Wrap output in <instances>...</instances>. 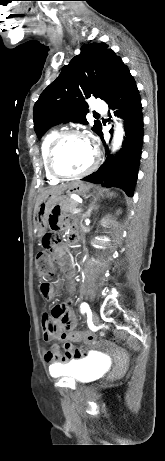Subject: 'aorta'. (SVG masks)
I'll return each mask as SVG.
<instances>
[{
    "mask_svg": "<svg viewBox=\"0 0 165 461\" xmlns=\"http://www.w3.org/2000/svg\"><path fill=\"white\" fill-rule=\"evenodd\" d=\"M123 137H124L123 125L122 123H117L116 130H115L114 137H113V143H112L113 152L117 151L120 148L123 142Z\"/></svg>",
    "mask_w": 165,
    "mask_h": 461,
    "instance_id": "obj_1",
    "label": "aorta"
}]
</instances>
